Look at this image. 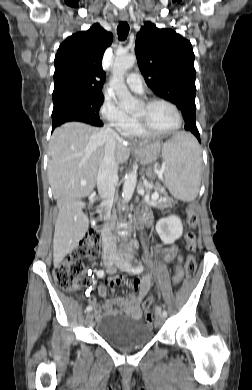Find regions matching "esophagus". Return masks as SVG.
Masks as SVG:
<instances>
[{
    "label": "esophagus",
    "mask_w": 252,
    "mask_h": 390,
    "mask_svg": "<svg viewBox=\"0 0 252 390\" xmlns=\"http://www.w3.org/2000/svg\"><path fill=\"white\" fill-rule=\"evenodd\" d=\"M120 19H121L122 21H126V20L128 19V17L125 16V15H122V16H120Z\"/></svg>",
    "instance_id": "esophagus-1"
}]
</instances>
